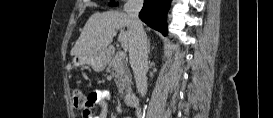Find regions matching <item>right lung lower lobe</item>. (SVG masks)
I'll return each mask as SVG.
<instances>
[{
  "label": "right lung lower lobe",
  "instance_id": "1",
  "mask_svg": "<svg viewBox=\"0 0 273 118\" xmlns=\"http://www.w3.org/2000/svg\"><path fill=\"white\" fill-rule=\"evenodd\" d=\"M171 0H144L140 19L163 35L167 34L166 14Z\"/></svg>",
  "mask_w": 273,
  "mask_h": 118
}]
</instances>
